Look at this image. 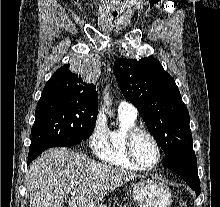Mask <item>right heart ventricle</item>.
<instances>
[{
  "label": "right heart ventricle",
  "instance_id": "obj_1",
  "mask_svg": "<svg viewBox=\"0 0 220 207\" xmlns=\"http://www.w3.org/2000/svg\"><path fill=\"white\" fill-rule=\"evenodd\" d=\"M137 126L136 117L119 113V126L107 129L105 138L95 152L102 162L118 168L139 170L127 157L125 150L126 133Z\"/></svg>",
  "mask_w": 220,
  "mask_h": 207
}]
</instances>
